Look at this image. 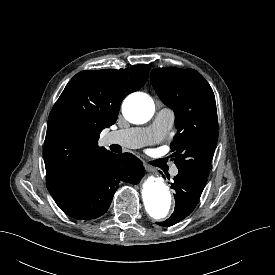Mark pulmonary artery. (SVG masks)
<instances>
[{
  "label": "pulmonary artery",
  "instance_id": "e3ab8cb5",
  "mask_svg": "<svg viewBox=\"0 0 275 275\" xmlns=\"http://www.w3.org/2000/svg\"><path fill=\"white\" fill-rule=\"evenodd\" d=\"M174 120V113L171 109L161 108L152 122L145 128H128L113 131L108 135V142L118 144L126 148H140L148 144L159 142L170 130ZM173 176L178 174V169H171Z\"/></svg>",
  "mask_w": 275,
  "mask_h": 275
}]
</instances>
